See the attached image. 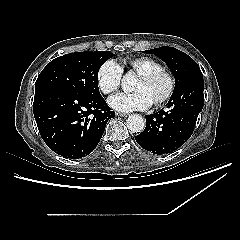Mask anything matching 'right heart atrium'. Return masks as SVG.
I'll list each match as a JSON object with an SVG mask.
<instances>
[{
  "instance_id": "right-heart-atrium-1",
  "label": "right heart atrium",
  "mask_w": 240,
  "mask_h": 240,
  "mask_svg": "<svg viewBox=\"0 0 240 240\" xmlns=\"http://www.w3.org/2000/svg\"><path fill=\"white\" fill-rule=\"evenodd\" d=\"M121 75V70L114 61L104 62L96 74L99 90L104 94H110L117 90L121 82Z\"/></svg>"
}]
</instances>
